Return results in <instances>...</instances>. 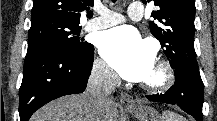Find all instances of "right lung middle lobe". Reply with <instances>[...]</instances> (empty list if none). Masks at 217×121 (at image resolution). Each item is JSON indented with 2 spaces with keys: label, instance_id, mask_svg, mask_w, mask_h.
I'll return each instance as SVG.
<instances>
[{
  "label": "right lung middle lobe",
  "instance_id": "dd1d6c3e",
  "mask_svg": "<svg viewBox=\"0 0 217 121\" xmlns=\"http://www.w3.org/2000/svg\"><path fill=\"white\" fill-rule=\"evenodd\" d=\"M79 24L45 19L31 23L28 35V53L57 50L76 55L84 54L90 43L83 42L78 35Z\"/></svg>",
  "mask_w": 217,
  "mask_h": 121
}]
</instances>
